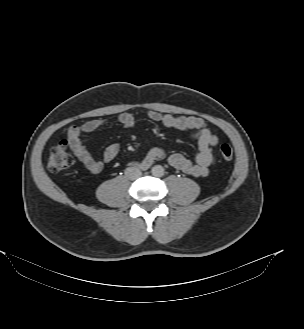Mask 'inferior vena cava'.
I'll return each mask as SVG.
<instances>
[{
    "label": "inferior vena cava",
    "instance_id": "602c4592",
    "mask_svg": "<svg viewBox=\"0 0 304 329\" xmlns=\"http://www.w3.org/2000/svg\"><path fill=\"white\" fill-rule=\"evenodd\" d=\"M125 175L130 180H136L141 177V171L136 167H129L125 170Z\"/></svg>",
    "mask_w": 304,
    "mask_h": 329
}]
</instances>
